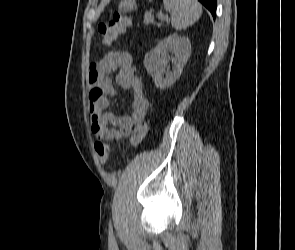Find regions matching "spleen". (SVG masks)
<instances>
[{"mask_svg": "<svg viewBox=\"0 0 295 250\" xmlns=\"http://www.w3.org/2000/svg\"><path fill=\"white\" fill-rule=\"evenodd\" d=\"M164 8L171 14V25L182 30L195 23L202 14L197 0H163Z\"/></svg>", "mask_w": 295, "mask_h": 250, "instance_id": "spleen-1", "label": "spleen"}]
</instances>
